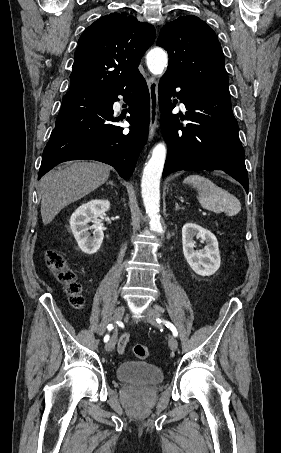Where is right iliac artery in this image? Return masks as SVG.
<instances>
[{
  "label": "right iliac artery",
  "mask_w": 281,
  "mask_h": 453,
  "mask_svg": "<svg viewBox=\"0 0 281 453\" xmlns=\"http://www.w3.org/2000/svg\"><path fill=\"white\" fill-rule=\"evenodd\" d=\"M107 328H108V330L110 331V330L113 329V325H112V324H108ZM108 340H109V335H106V336L104 337V342H107Z\"/></svg>",
  "instance_id": "right-iliac-artery-1"
}]
</instances>
